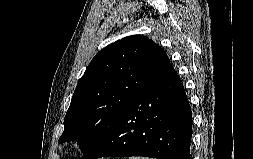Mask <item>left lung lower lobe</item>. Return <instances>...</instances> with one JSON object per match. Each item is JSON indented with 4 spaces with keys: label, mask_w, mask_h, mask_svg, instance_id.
<instances>
[{
    "label": "left lung lower lobe",
    "mask_w": 253,
    "mask_h": 159,
    "mask_svg": "<svg viewBox=\"0 0 253 159\" xmlns=\"http://www.w3.org/2000/svg\"><path fill=\"white\" fill-rule=\"evenodd\" d=\"M192 112L171 64L128 103L93 157L190 159Z\"/></svg>",
    "instance_id": "left-lung-lower-lobe-1"
}]
</instances>
